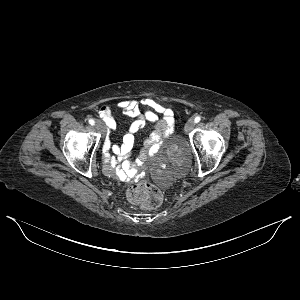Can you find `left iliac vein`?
I'll return each instance as SVG.
<instances>
[{
    "label": "left iliac vein",
    "instance_id": "1",
    "mask_svg": "<svg viewBox=\"0 0 300 300\" xmlns=\"http://www.w3.org/2000/svg\"><path fill=\"white\" fill-rule=\"evenodd\" d=\"M195 125L194 119L190 118L187 123L185 124V132H190Z\"/></svg>",
    "mask_w": 300,
    "mask_h": 300
}]
</instances>
